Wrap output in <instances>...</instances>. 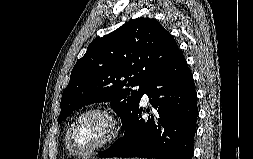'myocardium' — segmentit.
Segmentation results:
<instances>
[{
  "mask_svg": "<svg viewBox=\"0 0 253 159\" xmlns=\"http://www.w3.org/2000/svg\"><path fill=\"white\" fill-rule=\"evenodd\" d=\"M89 113H101V114L105 115L110 121L111 133L109 134V136L105 140H103L99 144L95 145L91 149H89L85 152H77L72 148V145H71L72 133H73L74 127L77 124V122L83 116H85ZM121 132H122L121 121H120L119 117L117 116V114L112 109H110L106 106H101V105L93 106V107L83 110L73 119V121L71 122V124L67 130L66 146L72 155H75L77 157H86V156H89V155L111 145L112 143H114L120 137Z\"/></svg>",
  "mask_w": 253,
  "mask_h": 159,
  "instance_id": "f54148a6",
  "label": "myocardium"
}]
</instances>
